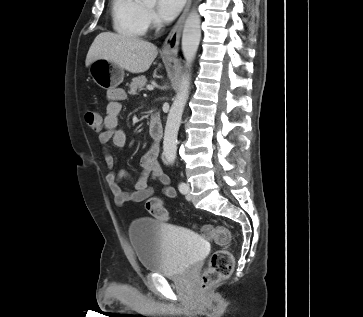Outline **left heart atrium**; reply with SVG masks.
<instances>
[{
    "mask_svg": "<svg viewBox=\"0 0 363 317\" xmlns=\"http://www.w3.org/2000/svg\"><path fill=\"white\" fill-rule=\"evenodd\" d=\"M185 0H158L157 11L166 21L173 20L180 12Z\"/></svg>",
    "mask_w": 363,
    "mask_h": 317,
    "instance_id": "obj_1",
    "label": "left heart atrium"
}]
</instances>
